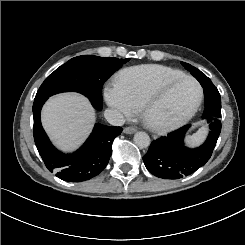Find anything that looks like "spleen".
<instances>
[{"instance_id": "spleen-1", "label": "spleen", "mask_w": 245, "mask_h": 245, "mask_svg": "<svg viewBox=\"0 0 245 245\" xmlns=\"http://www.w3.org/2000/svg\"><path fill=\"white\" fill-rule=\"evenodd\" d=\"M208 135V126L204 125L201 128L198 129L197 132H195L192 135H187L185 138L186 144L190 147H196L199 146L204 142Z\"/></svg>"}]
</instances>
